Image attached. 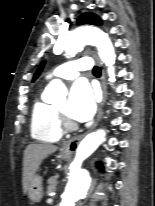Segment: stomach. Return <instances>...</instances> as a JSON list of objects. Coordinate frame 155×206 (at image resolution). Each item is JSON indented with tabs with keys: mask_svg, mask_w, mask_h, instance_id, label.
<instances>
[{
	"mask_svg": "<svg viewBox=\"0 0 155 206\" xmlns=\"http://www.w3.org/2000/svg\"><path fill=\"white\" fill-rule=\"evenodd\" d=\"M69 153L61 151L60 157L62 159H68ZM43 196L42 179L40 176L35 175L31 180L28 188V197L33 202H40Z\"/></svg>",
	"mask_w": 155,
	"mask_h": 206,
	"instance_id": "obj_1",
	"label": "stomach"
}]
</instances>
